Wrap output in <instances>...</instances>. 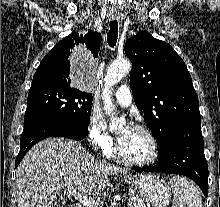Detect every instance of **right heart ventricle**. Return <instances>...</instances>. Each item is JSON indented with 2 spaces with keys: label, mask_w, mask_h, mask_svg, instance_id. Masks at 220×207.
<instances>
[{
  "label": "right heart ventricle",
  "mask_w": 220,
  "mask_h": 207,
  "mask_svg": "<svg viewBox=\"0 0 220 207\" xmlns=\"http://www.w3.org/2000/svg\"><path fill=\"white\" fill-rule=\"evenodd\" d=\"M106 155L107 156H112L113 155V151L111 150V151L107 152Z\"/></svg>",
  "instance_id": "1"
}]
</instances>
